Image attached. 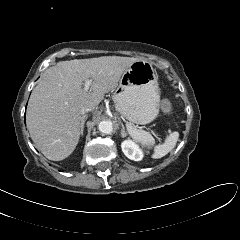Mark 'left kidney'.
<instances>
[{"instance_id":"left-kidney-1","label":"left kidney","mask_w":240,"mask_h":240,"mask_svg":"<svg viewBox=\"0 0 240 240\" xmlns=\"http://www.w3.org/2000/svg\"><path fill=\"white\" fill-rule=\"evenodd\" d=\"M121 148L125 156L134 161H140L143 158V152L139 146L132 140H124Z\"/></svg>"}]
</instances>
